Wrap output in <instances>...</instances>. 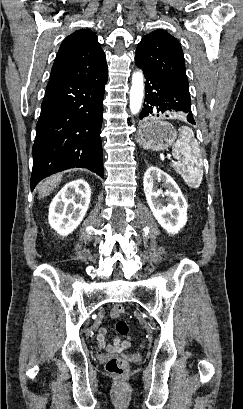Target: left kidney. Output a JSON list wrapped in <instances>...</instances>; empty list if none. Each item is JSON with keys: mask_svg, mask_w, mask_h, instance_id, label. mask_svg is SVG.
Returning <instances> with one entry per match:
<instances>
[{"mask_svg": "<svg viewBox=\"0 0 243 409\" xmlns=\"http://www.w3.org/2000/svg\"><path fill=\"white\" fill-rule=\"evenodd\" d=\"M160 182L167 188L165 192L157 189ZM143 186L147 203L157 222L169 234H177L187 222L188 206L176 182L161 169L151 166L144 174Z\"/></svg>", "mask_w": 243, "mask_h": 409, "instance_id": "obj_1", "label": "left kidney"}]
</instances>
